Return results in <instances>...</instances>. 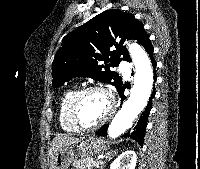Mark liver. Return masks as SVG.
<instances>
[{
    "label": "liver",
    "instance_id": "6515ba94",
    "mask_svg": "<svg viewBox=\"0 0 200 169\" xmlns=\"http://www.w3.org/2000/svg\"><path fill=\"white\" fill-rule=\"evenodd\" d=\"M81 140H83V138L68 137V136L55 137L50 144L49 155H48L49 160H51V158H53L56 151L59 150L60 148L78 143Z\"/></svg>",
    "mask_w": 200,
    "mask_h": 169
}]
</instances>
